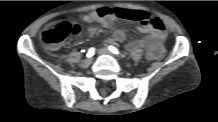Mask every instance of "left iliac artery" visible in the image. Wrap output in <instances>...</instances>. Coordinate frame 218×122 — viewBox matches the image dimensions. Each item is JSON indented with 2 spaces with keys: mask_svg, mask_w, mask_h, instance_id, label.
Here are the masks:
<instances>
[{
  "mask_svg": "<svg viewBox=\"0 0 218 122\" xmlns=\"http://www.w3.org/2000/svg\"><path fill=\"white\" fill-rule=\"evenodd\" d=\"M108 48L112 53L121 55L120 51L116 47H114L113 45H110Z\"/></svg>",
  "mask_w": 218,
  "mask_h": 122,
  "instance_id": "left-iliac-artery-1",
  "label": "left iliac artery"
}]
</instances>
